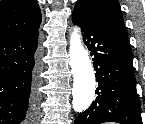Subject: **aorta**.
I'll list each match as a JSON object with an SVG mask.
<instances>
[{
	"mask_svg": "<svg viewBox=\"0 0 145 124\" xmlns=\"http://www.w3.org/2000/svg\"><path fill=\"white\" fill-rule=\"evenodd\" d=\"M69 57L73 75L72 107L80 113L91 105L96 81L88 51L82 45L81 33L77 27L73 28L70 35Z\"/></svg>",
	"mask_w": 145,
	"mask_h": 124,
	"instance_id": "aorta-1",
	"label": "aorta"
}]
</instances>
